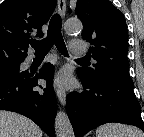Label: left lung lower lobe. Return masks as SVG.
<instances>
[{
	"instance_id": "left-lung-lower-lobe-1",
	"label": "left lung lower lobe",
	"mask_w": 144,
	"mask_h": 137,
	"mask_svg": "<svg viewBox=\"0 0 144 137\" xmlns=\"http://www.w3.org/2000/svg\"><path fill=\"white\" fill-rule=\"evenodd\" d=\"M80 80L84 91L71 92L66 98L67 114L76 137L110 122L134 125L144 131L133 83L107 76L94 81Z\"/></svg>"
}]
</instances>
